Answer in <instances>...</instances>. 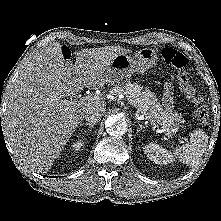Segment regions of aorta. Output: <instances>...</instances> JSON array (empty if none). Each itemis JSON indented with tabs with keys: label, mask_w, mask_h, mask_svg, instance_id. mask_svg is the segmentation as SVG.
Listing matches in <instances>:
<instances>
[{
	"label": "aorta",
	"mask_w": 221,
	"mask_h": 221,
	"mask_svg": "<svg viewBox=\"0 0 221 221\" xmlns=\"http://www.w3.org/2000/svg\"><path fill=\"white\" fill-rule=\"evenodd\" d=\"M107 133L111 136H122L128 130V125L125 120L121 119L118 115H111L105 122Z\"/></svg>",
	"instance_id": "762f6f07"
}]
</instances>
